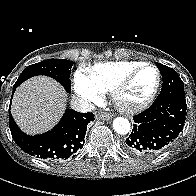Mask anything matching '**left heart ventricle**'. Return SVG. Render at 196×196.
<instances>
[{
  "mask_svg": "<svg viewBox=\"0 0 196 196\" xmlns=\"http://www.w3.org/2000/svg\"><path fill=\"white\" fill-rule=\"evenodd\" d=\"M157 73L151 68L143 69L124 91L122 99L126 103H138L143 101L156 84Z\"/></svg>",
  "mask_w": 196,
  "mask_h": 196,
  "instance_id": "obj_1",
  "label": "left heart ventricle"
}]
</instances>
